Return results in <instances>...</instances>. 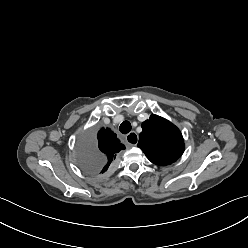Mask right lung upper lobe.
<instances>
[{"label":"right lung upper lobe","mask_w":248,"mask_h":248,"mask_svg":"<svg viewBox=\"0 0 248 248\" xmlns=\"http://www.w3.org/2000/svg\"><path fill=\"white\" fill-rule=\"evenodd\" d=\"M97 138L98 147L105 157V165L101 171V173H104L113 165L117 153L125 149V146L120 143L116 134L108 128L101 129Z\"/></svg>","instance_id":"cb5924a9"}]
</instances>
